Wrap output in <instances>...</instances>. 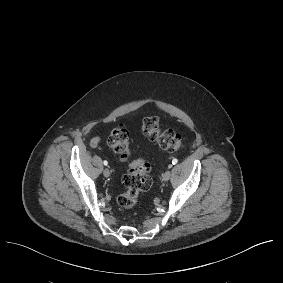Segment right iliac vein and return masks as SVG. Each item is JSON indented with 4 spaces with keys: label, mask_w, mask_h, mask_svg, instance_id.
<instances>
[{
    "label": "right iliac vein",
    "mask_w": 283,
    "mask_h": 283,
    "mask_svg": "<svg viewBox=\"0 0 283 283\" xmlns=\"http://www.w3.org/2000/svg\"><path fill=\"white\" fill-rule=\"evenodd\" d=\"M103 175H104L105 177H109V176H110V171H109L108 168H105V169L103 170Z\"/></svg>",
    "instance_id": "obj_1"
}]
</instances>
